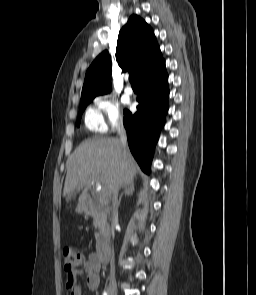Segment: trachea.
<instances>
[{"label":"trachea","instance_id":"obj_1","mask_svg":"<svg viewBox=\"0 0 256 295\" xmlns=\"http://www.w3.org/2000/svg\"><path fill=\"white\" fill-rule=\"evenodd\" d=\"M129 81H130V83H131L132 85H135V80H134L133 75H130V76H129Z\"/></svg>","mask_w":256,"mask_h":295}]
</instances>
